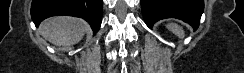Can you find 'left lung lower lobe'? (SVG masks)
<instances>
[{
	"mask_svg": "<svg viewBox=\"0 0 244 73\" xmlns=\"http://www.w3.org/2000/svg\"><path fill=\"white\" fill-rule=\"evenodd\" d=\"M142 14L149 28L164 18H178L197 29L204 9L203 0H140Z\"/></svg>",
	"mask_w": 244,
	"mask_h": 73,
	"instance_id": "obj_1",
	"label": "left lung lower lobe"
}]
</instances>
